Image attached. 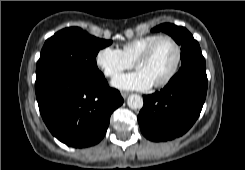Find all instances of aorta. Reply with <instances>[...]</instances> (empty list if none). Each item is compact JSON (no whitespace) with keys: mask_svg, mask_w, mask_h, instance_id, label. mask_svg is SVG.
<instances>
[{"mask_svg":"<svg viewBox=\"0 0 245 170\" xmlns=\"http://www.w3.org/2000/svg\"><path fill=\"white\" fill-rule=\"evenodd\" d=\"M127 104L131 109H141L143 107V98L140 95L132 94L128 97Z\"/></svg>","mask_w":245,"mask_h":170,"instance_id":"1","label":"aorta"}]
</instances>
